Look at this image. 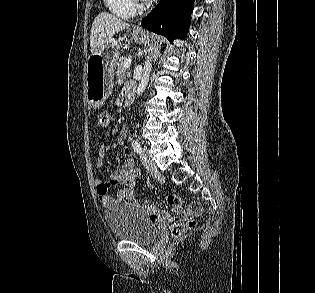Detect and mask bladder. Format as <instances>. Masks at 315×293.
I'll use <instances>...</instances> for the list:
<instances>
[{"label": "bladder", "mask_w": 315, "mask_h": 293, "mask_svg": "<svg viewBox=\"0 0 315 293\" xmlns=\"http://www.w3.org/2000/svg\"><path fill=\"white\" fill-rule=\"evenodd\" d=\"M105 220L112 235L118 240L150 244L159 235L157 225L138 206H111L105 211Z\"/></svg>", "instance_id": "1"}]
</instances>
